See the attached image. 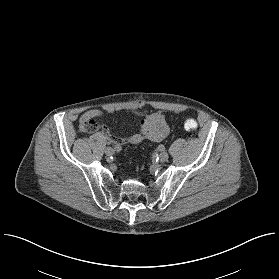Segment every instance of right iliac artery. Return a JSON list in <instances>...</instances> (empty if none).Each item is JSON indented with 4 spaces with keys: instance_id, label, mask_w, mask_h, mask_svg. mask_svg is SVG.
<instances>
[{
    "instance_id": "obj_1",
    "label": "right iliac artery",
    "mask_w": 279,
    "mask_h": 279,
    "mask_svg": "<svg viewBox=\"0 0 279 279\" xmlns=\"http://www.w3.org/2000/svg\"><path fill=\"white\" fill-rule=\"evenodd\" d=\"M122 149L120 145H115L114 146V151L119 152Z\"/></svg>"
}]
</instances>
